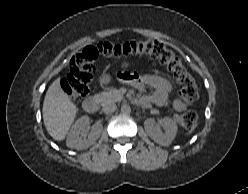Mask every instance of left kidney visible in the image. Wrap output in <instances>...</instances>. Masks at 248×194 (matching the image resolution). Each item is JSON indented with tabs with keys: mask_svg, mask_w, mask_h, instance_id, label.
<instances>
[{
	"mask_svg": "<svg viewBox=\"0 0 248 194\" xmlns=\"http://www.w3.org/2000/svg\"><path fill=\"white\" fill-rule=\"evenodd\" d=\"M163 126L165 133H162L157 126H149L146 128L148 136L156 143L162 146H169L174 140L177 133V125L171 118H163Z\"/></svg>",
	"mask_w": 248,
	"mask_h": 194,
	"instance_id": "1",
	"label": "left kidney"
}]
</instances>
